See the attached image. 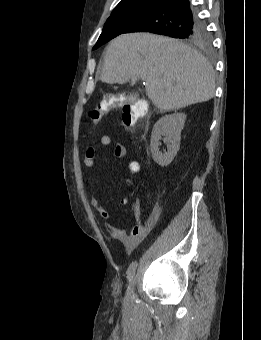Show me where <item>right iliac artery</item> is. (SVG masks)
I'll return each mask as SVG.
<instances>
[{
	"mask_svg": "<svg viewBox=\"0 0 261 340\" xmlns=\"http://www.w3.org/2000/svg\"><path fill=\"white\" fill-rule=\"evenodd\" d=\"M137 268V262L134 261L130 264V266L128 267V270H127V279L128 281L130 282L134 273H135V270Z\"/></svg>",
	"mask_w": 261,
	"mask_h": 340,
	"instance_id": "obj_1",
	"label": "right iliac artery"
}]
</instances>
